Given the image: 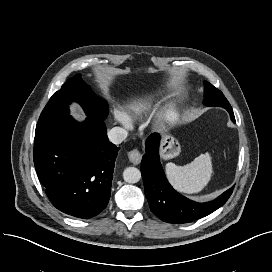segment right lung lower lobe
Masks as SVG:
<instances>
[{
  "label": "right lung lower lobe",
  "mask_w": 272,
  "mask_h": 272,
  "mask_svg": "<svg viewBox=\"0 0 272 272\" xmlns=\"http://www.w3.org/2000/svg\"><path fill=\"white\" fill-rule=\"evenodd\" d=\"M119 149L109 142L103 121L70 117L36 127L34 165L52 204L83 219L104 210Z\"/></svg>",
  "instance_id": "right-lung-lower-lobe-1"
}]
</instances>
